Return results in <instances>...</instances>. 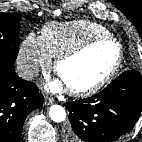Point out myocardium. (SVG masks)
Listing matches in <instances>:
<instances>
[{
	"label": "myocardium",
	"mask_w": 142,
	"mask_h": 142,
	"mask_svg": "<svg viewBox=\"0 0 142 142\" xmlns=\"http://www.w3.org/2000/svg\"><path fill=\"white\" fill-rule=\"evenodd\" d=\"M104 42L112 43L117 47L118 55L114 65L102 78H100L95 83L82 89L68 88V92L70 94L77 97H86V96L93 95L97 93L98 91H100L101 89H103L114 78V76L117 74V72L119 71L122 65V61L124 57L123 47L121 43L114 37L110 35H105V36L91 38L81 43L80 45L76 46L75 48L61 54L59 57L56 58L54 63V71L56 74H59L60 66L63 63L82 55L93 46L100 43H104Z\"/></svg>",
	"instance_id": "obj_1"
}]
</instances>
